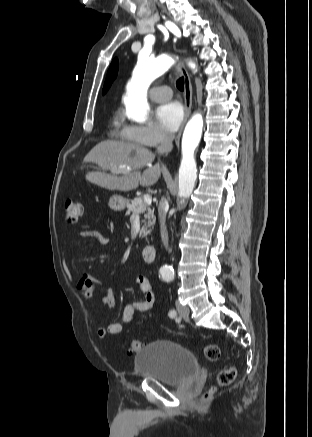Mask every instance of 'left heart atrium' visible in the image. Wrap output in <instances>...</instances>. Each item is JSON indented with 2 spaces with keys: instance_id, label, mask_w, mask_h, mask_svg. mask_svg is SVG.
I'll return each mask as SVG.
<instances>
[{
  "instance_id": "1",
  "label": "left heart atrium",
  "mask_w": 312,
  "mask_h": 437,
  "mask_svg": "<svg viewBox=\"0 0 312 437\" xmlns=\"http://www.w3.org/2000/svg\"><path fill=\"white\" fill-rule=\"evenodd\" d=\"M156 116L163 129L174 132L182 122L183 109L177 102H168L157 109Z\"/></svg>"
}]
</instances>
